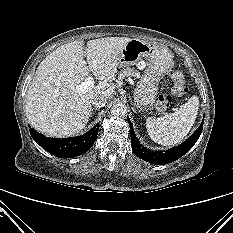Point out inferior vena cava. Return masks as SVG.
Returning <instances> with one entry per match:
<instances>
[{"label": "inferior vena cava", "mask_w": 233, "mask_h": 233, "mask_svg": "<svg viewBox=\"0 0 233 233\" xmlns=\"http://www.w3.org/2000/svg\"><path fill=\"white\" fill-rule=\"evenodd\" d=\"M106 98L104 96H96L92 99L91 103L96 108H101L106 104Z\"/></svg>", "instance_id": "obj_1"}]
</instances>
